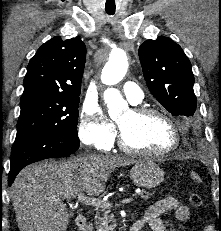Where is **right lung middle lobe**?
Masks as SVG:
<instances>
[{
    "label": "right lung middle lobe",
    "instance_id": "1",
    "mask_svg": "<svg viewBox=\"0 0 221 231\" xmlns=\"http://www.w3.org/2000/svg\"><path fill=\"white\" fill-rule=\"evenodd\" d=\"M79 97L36 96L22 99L14 144L46 133L77 137Z\"/></svg>",
    "mask_w": 221,
    "mask_h": 231
}]
</instances>
